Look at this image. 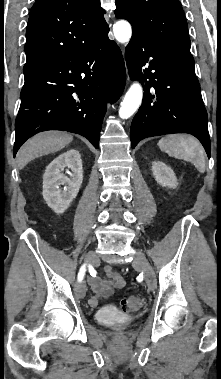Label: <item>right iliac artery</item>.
Returning <instances> with one entry per match:
<instances>
[{"mask_svg": "<svg viewBox=\"0 0 221 379\" xmlns=\"http://www.w3.org/2000/svg\"><path fill=\"white\" fill-rule=\"evenodd\" d=\"M85 271H86V265H82V267L80 268V271L78 273V281H82L84 275H85Z\"/></svg>", "mask_w": 221, "mask_h": 379, "instance_id": "1", "label": "right iliac artery"}]
</instances>
